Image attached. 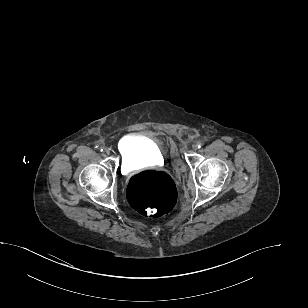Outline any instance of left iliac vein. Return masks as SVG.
Wrapping results in <instances>:
<instances>
[{"label": "left iliac vein", "mask_w": 308, "mask_h": 308, "mask_svg": "<svg viewBox=\"0 0 308 308\" xmlns=\"http://www.w3.org/2000/svg\"><path fill=\"white\" fill-rule=\"evenodd\" d=\"M192 148H193L194 150H197V144H193V145H192Z\"/></svg>", "instance_id": "1"}]
</instances>
